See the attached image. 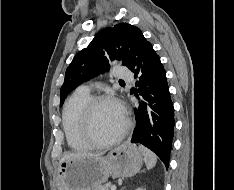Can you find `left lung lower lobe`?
I'll return each instance as SVG.
<instances>
[{
    "label": "left lung lower lobe",
    "instance_id": "0a47b994",
    "mask_svg": "<svg viewBox=\"0 0 234 190\" xmlns=\"http://www.w3.org/2000/svg\"><path fill=\"white\" fill-rule=\"evenodd\" d=\"M139 77L134 94L140 104L135 108L136 128L132 143L151 149L169 167L174 136V108L169 93L166 72L150 42H144L130 68Z\"/></svg>",
    "mask_w": 234,
    "mask_h": 190
}]
</instances>
